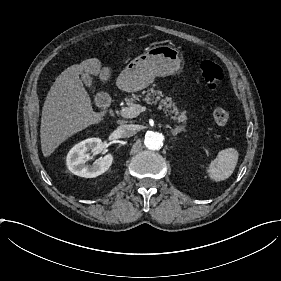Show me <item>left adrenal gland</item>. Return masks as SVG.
I'll list each match as a JSON object with an SVG mask.
<instances>
[{"mask_svg":"<svg viewBox=\"0 0 281 281\" xmlns=\"http://www.w3.org/2000/svg\"><path fill=\"white\" fill-rule=\"evenodd\" d=\"M184 127L183 126H177L175 129L171 130V133L173 136H176L178 133H180L182 131Z\"/></svg>","mask_w":281,"mask_h":281,"instance_id":"1","label":"left adrenal gland"}]
</instances>
